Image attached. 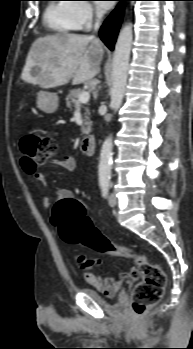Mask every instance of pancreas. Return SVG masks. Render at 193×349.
<instances>
[{
	"label": "pancreas",
	"mask_w": 193,
	"mask_h": 349,
	"mask_svg": "<svg viewBox=\"0 0 193 349\" xmlns=\"http://www.w3.org/2000/svg\"><path fill=\"white\" fill-rule=\"evenodd\" d=\"M83 92L81 89H73L70 90L68 95L66 96V106L72 110L73 104L78 102V96ZM86 112L84 114V123L81 127V131L83 134H89L92 126V122L89 119V110L85 108Z\"/></svg>",
	"instance_id": "1"
}]
</instances>
